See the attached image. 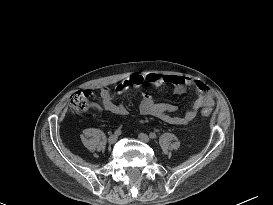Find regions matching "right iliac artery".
I'll return each instance as SVG.
<instances>
[{
  "label": "right iliac artery",
  "instance_id": "1",
  "mask_svg": "<svg viewBox=\"0 0 273 205\" xmlns=\"http://www.w3.org/2000/svg\"><path fill=\"white\" fill-rule=\"evenodd\" d=\"M115 134L120 135V134H121V128H118V129L115 131Z\"/></svg>",
  "mask_w": 273,
  "mask_h": 205
}]
</instances>
